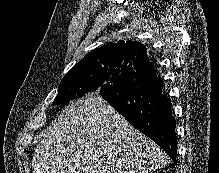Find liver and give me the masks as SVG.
I'll return each mask as SVG.
<instances>
[{
	"label": "liver",
	"mask_w": 219,
	"mask_h": 173,
	"mask_svg": "<svg viewBox=\"0 0 219 173\" xmlns=\"http://www.w3.org/2000/svg\"><path fill=\"white\" fill-rule=\"evenodd\" d=\"M165 153L136 130L102 97L87 95L45 129L33 159V173H150Z\"/></svg>",
	"instance_id": "obj_1"
}]
</instances>
